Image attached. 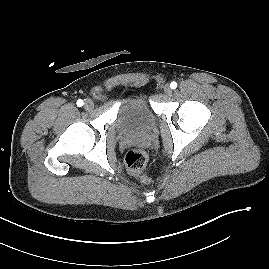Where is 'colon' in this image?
Here are the masks:
<instances>
[{
	"instance_id": "obj_1",
	"label": "colon",
	"mask_w": 269,
	"mask_h": 269,
	"mask_svg": "<svg viewBox=\"0 0 269 269\" xmlns=\"http://www.w3.org/2000/svg\"><path fill=\"white\" fill-rule=\"evenodd\" d=\"M124 162L130 173L139 175L147 165L148 155L143 150L132 149L125 155Z\"/></svg>"
}]
</instances>
